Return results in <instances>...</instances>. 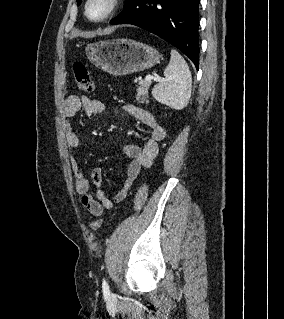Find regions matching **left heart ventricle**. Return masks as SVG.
Instances as JSON below:
<instances>
[{
  "instance_id": "1",
  "label": "left heart ventricle",
  "mask_w": 284,
  "mask_h": 319,
  "mask_svg": "<svg viewBox=\"0 0 284 319\" xmlns=\"http://www.w3.org/2000/svg\"><path fill=\"white\" fill-rule=\"evenodd\" d=\"M108 9V0H92L88 12L92 18L102 17Z\"/></svg>"
}]
</instances>
